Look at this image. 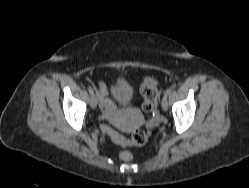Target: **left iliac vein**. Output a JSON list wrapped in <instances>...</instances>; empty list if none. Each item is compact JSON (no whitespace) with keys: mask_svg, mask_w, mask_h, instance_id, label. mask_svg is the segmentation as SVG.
Here are the masks:
<instances>
[{"mask_svg":"<svg viewBox=\"0 0 249 188\" xmlns=\"http://www.w3.org/2000/svg\"><path fill=\"white\" fill-rule=\"evenodd\" d=\"M161 106L164 111H167L168 109V97L166 95L163 96L161 101Z\"/></svg>","mask_w":249,"mask_h":188,"instance_id":"left-iliac-vein-1","label":"left iliac vein"}]
</instances>
